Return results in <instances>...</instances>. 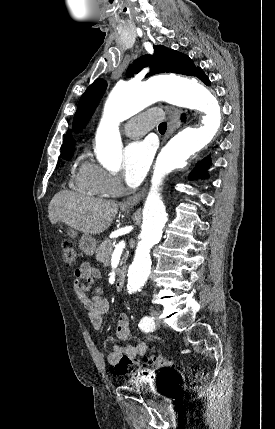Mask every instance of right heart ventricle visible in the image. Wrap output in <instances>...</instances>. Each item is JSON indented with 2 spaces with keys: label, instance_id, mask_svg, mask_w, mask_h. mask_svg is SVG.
<instances>
[{
  "label": "right heart ventricle",
  "instance_id": "1",
  "mask_svg": "<svg viewBox=\"0 0 275 429\" xmlns=\"http://www.w3.org/2000/svg\"><path fill=\"white\" fill-rule=\"evenodd\" d=\"M72 186L85 194L105 197L109 194L99 180V167L89 161H84L77 168L71 179Z\"/></svg>",
  "mask_w": 275,
  "mask_h": 429
}]
</instances>
